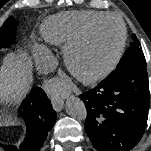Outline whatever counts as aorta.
I'll list each match as a JSON object with an SVG mask.
<instances>
[{
	"label": "aorta",
	"mask_w": 151,
	"mask_h": 151,
	"mask_svg": "<svg viewBox=\"0 0 151 151\" xmlns=\"http://www.w3.org/2000/svg\"><path fill=\"white\" fill-rule=\"evenodd\" d=\"M65 109L68 115L77 120L86 119L87 111L83 101L80 98L75 96L68 97L65 103Z\"/></svg>",
	"instance_id": "762f6f07"
}]
</instances>
